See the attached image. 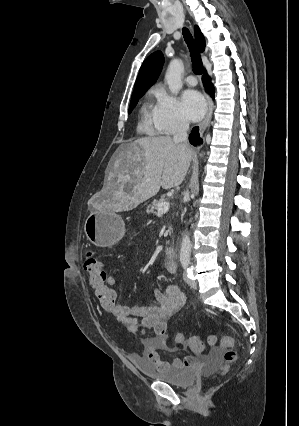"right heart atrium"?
I'll return each instance as SVG.
<instances>
[{"label":"right heart atrium","instance_id":"right-heart-atrium-1","mask_svg":"<svg viewBox=\"0 0 299 426\" xmlns=\"http://www.w3.org/2000/svg\"><path fill=\"white\" fill-rule=\"evenodd\" d=\"M156 97L154 122L159 132L173 134L187 128L188 121L177 98L164 89H158Z\"/></svg>","mask_w":299,"mask_h":426}]
</instances>
